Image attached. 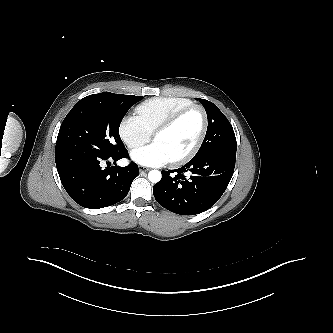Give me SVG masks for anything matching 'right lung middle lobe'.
Returning <instances> with one entry per match:
<instances>
[{"instance_id": "obj_1", "label": "right lung middle lobe", "mask_w": 333, "mask_h": 333, "mask_svg": "<svg viewBox=\"0 0 333 333\" xmlns=\"http://www.w3.org/2000/svg\"><path fill=\"white\" fill-rule=\"evenodd\" d=\"M142 96L103 92L81 99L61 124L56 146H76L103 155L125 149L120 123L129 108Z\"/></svg>"}]
</instances>
